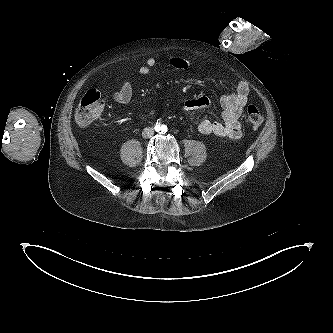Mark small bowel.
Listing matches in <instances>:
<instances>
[{"label": "small bowel", "mask_w": 333, "mask_h": 333, "mask_svg": "<svg viewBox=\"0 0 333 333\" xmlns=\"http://www.w3.org/2000/svg\"><path fill=\"white\" fill-rule=\"evenodd\" d=\"M169 63L173 67L179 69H184L189 66V62L180 57L170 58ZM156 65L157 60L155 58H149L139 66V71L142 74H148ZM132 95V84L130 81L126 80L123 82L119 90L111 94V98L119 104H127L130 102ZM248 96L249 88L244 82H240L233 93L223 94L220 98V103L223 108L222 121L220 122L208 119H198L194 116V112L207 109L211 106V101L206 96H198L189 99L182 103L179 106V109L192 120L200 133L236 140L242 135L239 118L248 101ZM155 112L156 111L152 109L143 114L142 117L152 116Z\"/></svg>", "instance_id": "1"}]
</instances>
